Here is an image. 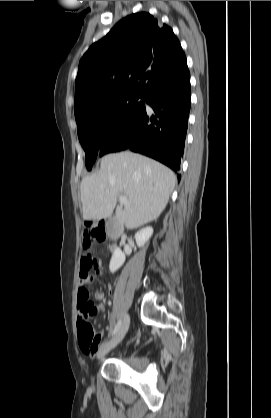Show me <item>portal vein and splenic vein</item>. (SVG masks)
Returning <instances> with one entry per match:
<instances>
[{"label": "portal vein and splenic vein", "mask_w": 271, "mask_h": 418, "mask_svg": "<svg viewBox=\"0 0 271 418\" xmlns=\"http://www.w3.org/2000/svg\"><path fill=\"white\" fill-rule=\"evenodd\" d=\"M119 202H120L121 205H129V201H128L126 196H120L119 197Z\"/></svg>", "instance_id": "18ae733b"}]
</instances>
